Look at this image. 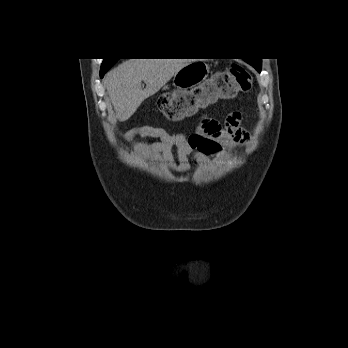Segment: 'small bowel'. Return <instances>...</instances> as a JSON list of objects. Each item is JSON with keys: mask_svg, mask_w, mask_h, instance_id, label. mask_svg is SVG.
Here are the masks:
<instances>
[{"mask_svg": "<svg viewBox=\"0 0 348 348\" xmlns=\"http://www.w3.org/2000/svg\"><path fill=\"white\" fill-rule=\"evenodd\" d=\"M146 133L159 141L144 146L143 152L169 156L170 150L175 148L178 159L176 169L179 172L189 170L192 157L195 161L206 164L207 157L219 156L222 153L223 142L232 146L245 144L250 138L249 132L242 125V115L237 111L228 114L223 128L205 117L197 131L190 135L180 132L170 134L161 129H149Z\"/></svg>", "mask_w": 348, "mask_h": 348, "instance_id": "c3829d8e", "label": "small bowel"}]
</instances>
